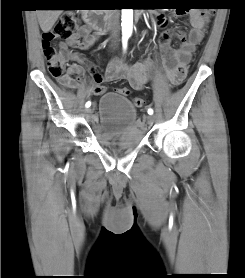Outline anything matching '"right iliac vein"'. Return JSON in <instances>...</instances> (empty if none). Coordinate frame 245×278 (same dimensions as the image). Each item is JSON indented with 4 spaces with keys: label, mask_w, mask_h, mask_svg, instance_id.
Returning a JSON list of instances; mask_svg holds the SVG:
<instances>
[{
    "label": "right iliac vein",
    "mask_w": 245,
    "mask_h": 278,
    "mask_svg": "<svg viewBox=\"0 0 245 278\" xmlns=\"http://www.w3.org/2000/svg\"><path fill=\"white\" fill-rule=\"evenodd\" d=\"M93 113V109L92 108H88L86 109V115L90 116Z\"/></svg>",
    "instance_id": "right-iliac-vein-1"
}]
</instances>
